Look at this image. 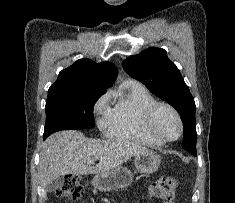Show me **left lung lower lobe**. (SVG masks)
<instances>
[{
	"label": "left lung lower lobe",
	"mask_w": 235,
	"mask_h": 203,
	"mask_svg": "<svg viewBox=\"0 0 235 203\" xmlns=\"http://www.w3.org/2000/svg\"><path fill=\"white\" fill-rule=\"evenodd\" d=\"M191 136H192L191 131L184 129V140L182 142V147L186 150L190 149V147H189L190 142L189 141L191 140Z\"/></svg>",
	"instance_id": "obj_1"
}]
</instances>
